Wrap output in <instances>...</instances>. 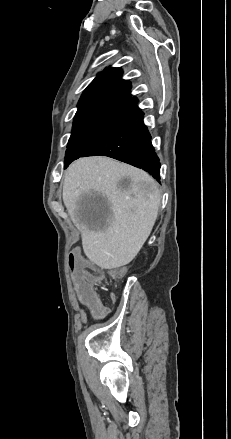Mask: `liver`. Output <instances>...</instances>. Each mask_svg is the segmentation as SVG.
<instances>
[{"label": "liver", "instance_id": "obj_1", "mask_svg": "<svg viewBox=\"0 0 231 439\" xmlns=\"http://www.w3.org/2000/svg\"><path fill=\"white\" fill-rule=\"evenodd\" d=\"M131 180L122 190L119 181ZM99 194L108 211L85 217L81 197ZM63 202L81 232L87 258L102 269L127 265L138 254L157 219L161 202L158 183L145 171L109 157H85L73 162L64 175Z\"/></svg>", "mask_w": 231, "mask_h": 439}]
</instances>
